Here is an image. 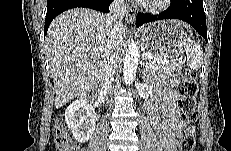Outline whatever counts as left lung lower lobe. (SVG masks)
Returning a JSON list of instances; mask_svg holds the SVG:
<instances>
[{
	"mask_svg": "<svg viewBox=\"0 0 231 151\" xmlns=\"http://www.w3.org/2000/svg\"><path fill=\"white\" fill-rule=\"evenodd\" d=\"M162 19H179L189 23L207 42V27L203 0H180L179 5L169 7L159 15L139 13L136 18V26L139 27L147 22Z\"/></svg>",
	"mask_w": 231,
	"mask_h": 151,
	"instance_id": "left-lung-lower-lobe-1",
	"label": "left lung lower lobe"
}]
</instances>
